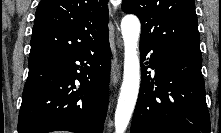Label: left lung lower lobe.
Instances as JSON below:
<instances>
[{
    "label": "left lung lower lobe",
    "instance_id": "1",
    "mask_svg": "<svg viewBox=\"0 0 221 133\" xmlns=\"http://www.w3.org/2000/svg\"><path fill=\"white\" fill-rule=\"evenodd\" d=\"M150 50L130 133H210L201 55L140 41L141 62Z\"/></svg>",
    "mask_w": 221,
    "mask_h": 133
}]
</instances>
